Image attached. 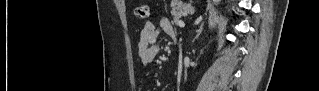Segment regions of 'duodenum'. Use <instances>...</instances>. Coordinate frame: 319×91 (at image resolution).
Instances as JSON below:
<instances>
[{
    "instance_id": "obj_1",
    "label": "duodenum",
    "mask_w": 319,
    "mask_h": 91,
    "mask_svg": "<svg viewBox=\"0 0 319 91\" xmlns=\"http://www.w3.org/2000/svg\"><path fill=\"white\" fill-rule=\"evenodd\" d=\"M173 41L176 42V34L174 36H172Z\"/></svg>"
}]
</instances>
